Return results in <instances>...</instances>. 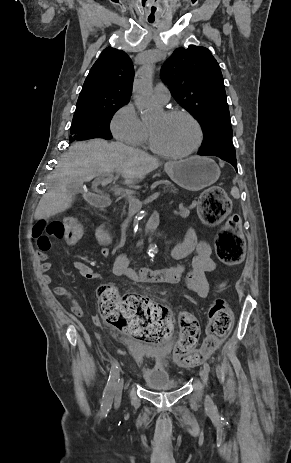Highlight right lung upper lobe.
<instances>
[{"label": "right lung upper lobe", "instance_id": "cb5924a9", "mask_svg": "<svg viewBox=\"0 0 291 463\" xmlns=\"http://www.w3.org/2000/svg\"><path fill=\"white\" fill-rule=\"evenodd\" d=\"M133 77L132 61L125 52L104 49L83 84L74 116L97 110L107 101L127 102Z\"/></svg>", "mask_w": 291, "mask_h": 463}]
</instances>
